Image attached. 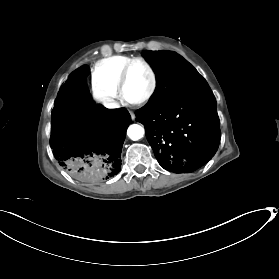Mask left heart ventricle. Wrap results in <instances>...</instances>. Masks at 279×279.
I'll list each match as a JSON object with an SVG mask.
<instances>
[{
	"label": "left heart ventricle",
	"instance_id": "obj_1",
	"mask_svg": "<svg viewBox=\"0 0 279 279\" xmlns=\"http://www.w3.org/2000/svg\"><path fill=\"white\" fill-rule=\"evenodd\" d=\"M151 77L148 70L140 63L134 64L126 82V97L129 100L142 98L150 89Z\"/></svg>",
	"mask_w": 279,
	"mask_h": 279
}]
</instances>
